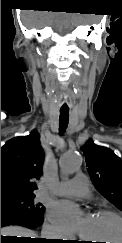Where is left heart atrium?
Returning <instances> with one entry per match:
<instances>
[{
	"label": "left heart atrium",
	"mask_w": 122,
	"mask_h": 243,
	"mask_svg": "<svg viewBox=\"0 0 122 243\" xmlns=\"http://www.w3.org/2000/svg\"><path fill=\"white\" fill-rule=\"evenodd\" d=\"M49 218L65 232L82 233L89 217L82 216L72 202L59 201L50 207Z\"/></svg>",
	"instance_id": "left-heart-atrium-1"
}]
</instances>
